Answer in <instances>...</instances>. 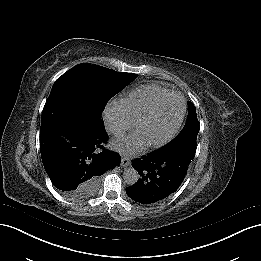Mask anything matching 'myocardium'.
<instances>
[{
  "label": "myocardium",
  "mask_w": 261,
  "mask_h": 261,
  "mask_svg": "<svg viewBox=\"0 0 261 261\" xmlns=\"http://www.w3.org/2000/svg\"><path fill=\"white\" fill-rule=\"evenodd\" d=\"M177 101L180 103V106H181L180 115H179V118H178L176 124L174 125V127L167 134H165L163 137L156 139V140H145V139L138 137L137 128L143 118H145L147 116H151V115H156L157 113L166 110L169 106H171L173 103H175ZM185 113H186L185 99L182 96H173L170 99H168L167 101L151 108L149 111L145 112L137 120H135V122L133 123V125L131 127L130 135L134 136L137 139V141L140 143L141 146H158V145L164 144L171 137H173L174 134L178 131V129L180 128V126L184 120Z\"/></svg>",
  "instance_id": "1"
}]
</instances>
